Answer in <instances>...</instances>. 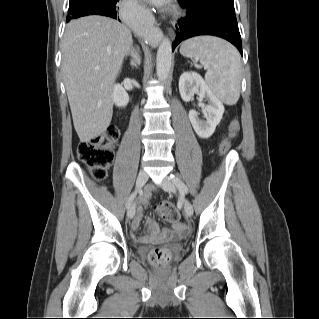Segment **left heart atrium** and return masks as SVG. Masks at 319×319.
Returning a JSON list of instances; mask_svg holds the SVG:
<instances>
[{
    "instance_id": "39dd6f15",
    "label": "left heart atrium",
    "mask_w": 319,
    "mask_h": 319,
    "mask_svg": "<svg viewBox=\"0 0 319 319\" xmlns=\"http://www.w3.org/2000/svg\"><path fill=\"white\" fill-rule=\"evenodd\" d=\"M151 1L157 5H162L168 2V0H151Z\"/></svg>"
}]
</instances>
